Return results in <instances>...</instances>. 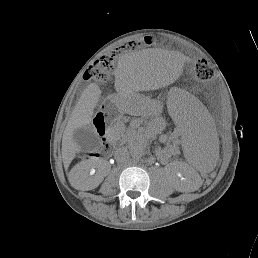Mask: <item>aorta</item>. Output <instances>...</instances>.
Returning <instances> with one entry per match:
<instances>
[{
    "instance_id": "1",
    "label": "aorta",
    "mask_w": 258,
    "mask_h": 258,
    "mask_svg": "<svg viewBox=\"0 0 258 258\" xmlns=\"http://www.w3.org/2000/svg\"><path fill=\"white\" fill-rule=\"evenodd\" d=\"M132 157L135 160H139L142 157V152L140 150H138V149H133L132 150Z\"/></svg>"
}]
</instances>
